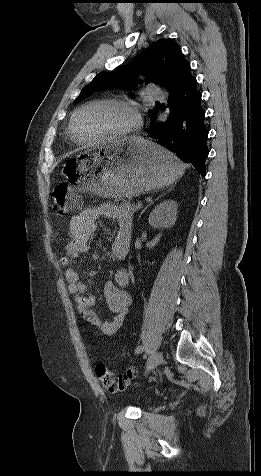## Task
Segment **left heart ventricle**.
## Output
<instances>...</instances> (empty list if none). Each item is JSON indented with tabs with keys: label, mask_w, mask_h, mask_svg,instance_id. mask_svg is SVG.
<instances>
[{
	"label": "left heart ventricle",
	"mask_w": 261,
	"mask_h": 476,
	"mask_svg": "<svg viewBox=\"0 0 261 476\" xmlns=\"http://www.w3.org/2000/svg\"><path fill=\"white\" fill-rule=\"evenodd\" d=\"M131 120V113L121 106L97 104L79 114L75 127L79 137L90 140L120 131L127 127Z\"/></svg>",
	"instance_id": "obj_1"
}]
</instances>
